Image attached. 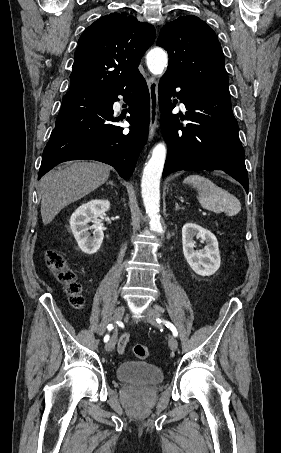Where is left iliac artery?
Masks as SVG:
<instances>
[{"instance_id": "obj_1", "label": "left iliac artery", "mask_w": 281, "mask_h": 453, "mask_svg": "<svg viewBox=\"0 0 281 453\" xmlns=\"http://www.w3.org/2000/svg\"><path fill=\"white\" fill-rule=\"evenodd\" d=\"M156 321L158 323L162 322L159 318H157ZM163 322L165 323L167 328H170V330L173 332V335L176 337L178 335V332H177V329L175 328V326L170 322H167V321H163Z\"/></svg>"}]
</instances>
